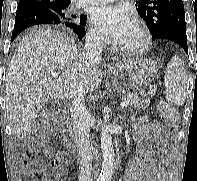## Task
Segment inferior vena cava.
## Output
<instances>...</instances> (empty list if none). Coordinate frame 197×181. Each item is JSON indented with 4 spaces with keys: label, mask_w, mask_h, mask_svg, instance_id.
<instances>
[{
    "label": "inferior vena cava",
    "mask_w": 197,
    "mask_h": 181,
    "mask_svg": "<svg viewBox=\"0 0 197 181\" xmlns=\"http://www.w3.org/2000/svg\"><path fill=\"white\" fill-rule=\"evenodd\" d=\"M103 37L96 31L85 37L84 59L87 67L99 64L102 59ZM75 141L79 152V181H92V152L89 142L90 115L85 107V91L80 89L73 96L70 108Z\"/></svg>",
    "instance_id": "602c4592"
}]
</instances>
